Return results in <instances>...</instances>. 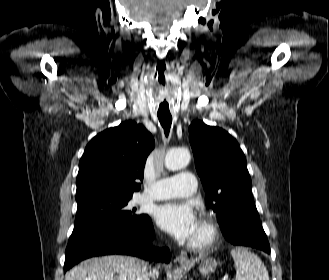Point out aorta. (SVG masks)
<instances>
[{"mask_svg":"<svg viewBox=\"0 0 329 280\" xmlns=\"http://www.w3.org/2000/svg\"><path fill=\"white\" fill-rule=\"evenodd\" d=\"M191 156L187 149H171L165 157V167L170 171L185 168L190 162Z\"/></svg>","mask_w":329,"mask_h":280,"instance_id":"aorta-1","label":"aorta"}]
</instances>
